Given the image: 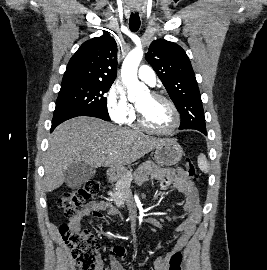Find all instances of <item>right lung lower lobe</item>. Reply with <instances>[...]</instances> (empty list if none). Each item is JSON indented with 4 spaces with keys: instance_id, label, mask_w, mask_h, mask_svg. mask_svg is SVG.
<instances>
[{
    "instance_id": "right-lung-lower-lobe-1",
    "label": "right lung lower lobe",
    "mask_w": 267,
    "mask_h": 270,
    "mask_svg": "<svg viewBox=\"0 0 267 270\" xmlns=\"http://www.w3.org/2000/svg\"><path fill=\"white\" fill-rule=\"evenodd\" d=\"M77 116H91L103 119L105 121H110V117L108 114L100 113V112H85V113H73L68 111H54L51 132L62 122L71 119Z\"/></svg>"
}]
</instances>
